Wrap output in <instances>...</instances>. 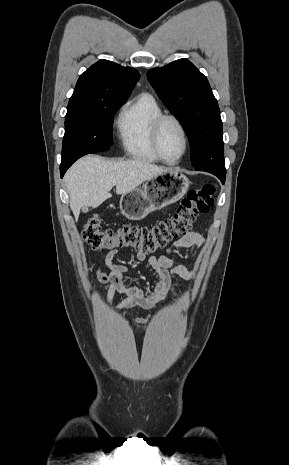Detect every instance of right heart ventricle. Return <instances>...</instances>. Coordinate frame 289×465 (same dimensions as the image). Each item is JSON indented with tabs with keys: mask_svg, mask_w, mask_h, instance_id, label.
<instances>
[{
	"mask_svg": "<svg viewBox=\"0 0 289 465\" xmlns=\"http://www.w3.org/2000/svg\"><path fill=\"white\" fill-rule=\"evenodd\" d=\"M160 114L161 107L149 93L138 95L123 108L118 118V131L121 144L130 157L146 162L160 161L151 141L152 125Z\"/></svg>",
	"mask_w": 289,
	"mask_h": 465,
	"instance_id": "right-heart-ventricle-1",
	"label": "right heart ventricle"
}]
</instances>
